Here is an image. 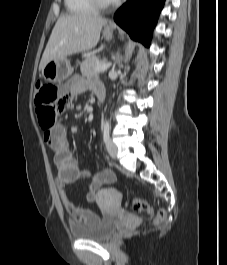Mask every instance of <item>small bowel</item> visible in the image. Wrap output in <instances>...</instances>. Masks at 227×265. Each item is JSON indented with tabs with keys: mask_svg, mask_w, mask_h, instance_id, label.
Masks as SVG:
<instances>
[{
	"mask_svg": "<svg viewBox=\"0 0 227 265\" xmlns=\"http://www.w3.org/2000/svg\"><path fill=\"white\" fill-rule=\"evenodd\" d=\"M62 86L61 92L65 99L57 100L58 112H70L73 108V100L85 91H96L103 86L96 82L83 79L80 76H74L69 81H59ZM44 141L53 152L54 162L57 168V177L55 180L61 202L75 223L93 224L100 217L91 210H87L75 205L67 193L66 187L80 179H88L89 185L85 194L87 203L96 202L99 199L100 188L115 180L114 173L109 169H104L96 173L81 169L74 158L66 130L60 123H54L48 130L44 131Z\"/></svg>",
	"mask_w": 227,
	"mask_h": 265,
	"instance_id": "c3829d8e",
	"label": "small bowel"
}]
</instances>
